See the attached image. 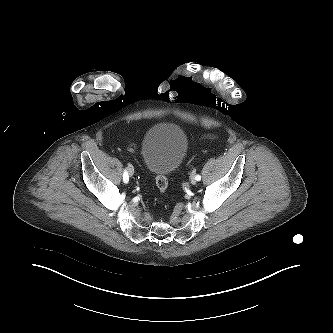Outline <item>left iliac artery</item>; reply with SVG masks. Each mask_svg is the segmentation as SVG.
<instances>
[{"label": "left iliac artery", "instance_id": "left-iliac-artery-1", "mask_svg": "<svg viewBox=\"0 0 333 333\" xmlns=\"http://www.w3.org/2000/svg\"><path fill=\"white\" fill-rule=\"evenodd\" d=\"M195 178H196L197 181H200V180H201V176H200L199 174H197V175L195 176Z\"/></svg>", "mask_w": 333, "mask_h": 333}]
</instances>
